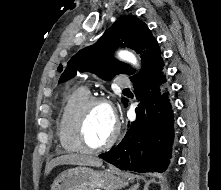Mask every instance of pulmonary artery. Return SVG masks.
<instances>
[{
    "instance_id": "pulmonary-artery-1",
    "label": "pulmonary artery",
    "mask_w": 221,
    "mask_h": 190,
    "mask_svg": "<svg viewBox=\"0 0 221 190\" xmlns=\"http://www.w3.org/2000/svg\"><path fill=\"white\" fill-rule=\"evenodd\" d=\"M116 85L118 87L127 88L131 86L129 78L125 75H120L116 79Z\"/></svg>"
}]
</instances>
